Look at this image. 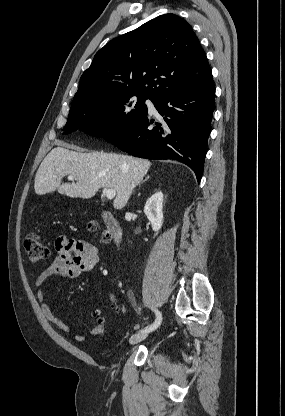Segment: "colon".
<instances>
[{"instance_id": "5ec220e1", "label": "colon", "mask_w": 285, "mask_h": 416, "mask_svg": "<svg viewBox=\"0 0 285 416\" xmlns=\"http://www.w3.org/2000/svg\"><path fill=\"white\" fill-rule=\"evenodd\" d=\"M89 227L93 229L95 228V224L91 223ZM103 239L105 241L110 240L109 234H103ZM24 247L28 260L33 264L44 261L50 256L49 247L36 234H30L26 237L24 241ZM111 301L118 310L124 311V307L115 299L113 295H111ZM92 317L94 318L96 324H99L103 321L102 316L96 310L92 312Z\"/></svg>"}]
</instances>
